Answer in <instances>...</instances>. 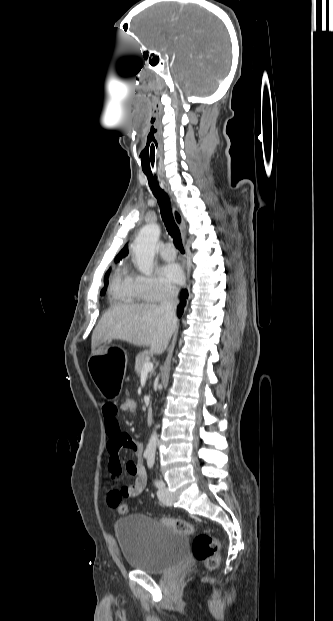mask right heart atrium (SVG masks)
Wrapping results in <instances>:
<instances>
[{"mask_svg":"<svg viewBox=\"0 0 333 621\" xmlns=\"http://www.w3.org/2000/svg\"><path fill=\"white\" fill-rule=\"evenodd\" d=\"M134 282L139 295L147 302H160L176 294L174 287L165 284L155 275H137Z\"/></svg>","mask_w":333,"mask_h":621,"instance_id":"obj_1","label":"right heart atrium"}]
</instances>
